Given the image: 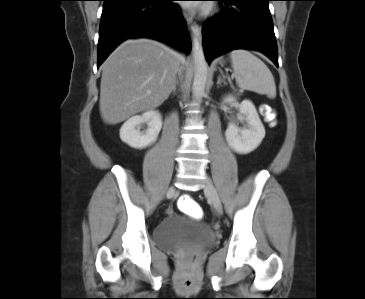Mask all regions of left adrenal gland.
Wrapping results in <instances>:
<instances>
[{
    "label": "left adrenal gland",
    "instance_id": "1",
    "mask_svg": "<svg viewBox=\"0 0 365 299\" xmlns=\"http://www.w3.org/2000/svg\"><path fill=\"white\" fill-rule=\"evenodd\" d=\"M221 83H224V85H226L227 83L223 80V79H221V76H219L218 77V80H217V85H218V87H219V85H221Z\"/></svg>",
    "mask_w": 365,
    "mask_h": 299
}]
</instances>
